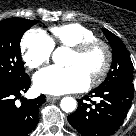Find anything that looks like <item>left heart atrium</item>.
<instances>
[{"label": "left heart atrium", "instance_id": "1", "mask_svg": "<svg viewBox=\"0 0 136 136\" xmlns=\"http://www.w3.org/2000/svg\"><path fill=\"white\" fill-rule=\"evenodd\" d=\"M89 82V77L77 65L66 68L51 66L34 76L35 88L41 93L52 95L82 91L87 88Z\"/></svg>", "mask_w": 136, "mask_h": 136}]
</instances>
